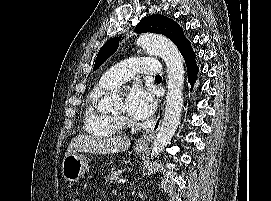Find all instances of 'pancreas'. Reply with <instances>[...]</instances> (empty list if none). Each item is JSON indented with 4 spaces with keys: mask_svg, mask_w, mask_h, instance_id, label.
<instances>
[{
    "mask_svg": "<svg viewBox=\"0 0 271 201\" xmlns=\"http://www.w3.org/2000/svg\"><path fill=\"white\" fill-rule=\"evenodd\" d=\"M120 173L114 169L111 170L110 174L106 176V182H114L117 181L119 178Z\"/></svg>",
    "mask_w": 271,
    "mask_h": 201,
    "instance_id": "obj_1",
    "label": "pancreas"
}]
</instances>
